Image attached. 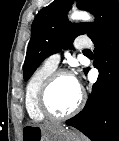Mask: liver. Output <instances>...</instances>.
Here are the masks:
<instances>
[{
    "instance_id": "6515ba94",
    "label": "liver",
    "mask_w": 119,
    "mask_h": 141,
    "mask_svg": "<svg viewBox=\"0 0 119 141\" xmlns=\"http://www.w3.org/2000/svg\"><path fill=\"white\" fill-rule=\"evenodd\" d=\"M41 127H45V128H60V125L57 124H50V123H45V124H41L39 125Z\"/></svg>"
}]
</instances>
